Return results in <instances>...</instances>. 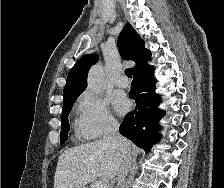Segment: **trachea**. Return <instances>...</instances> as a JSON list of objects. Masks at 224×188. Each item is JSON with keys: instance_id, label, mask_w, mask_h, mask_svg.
I'll return each mask as SVG.
<instances>
[{"instance_id": "obj_1", "label": "trachea", "mask_w": 224, "mask_h": 188, "mask_svg": "<svg viewBox=\"0 0 224 188\" xmlns=\"http://www.w3.org/2000/svg\"><path fill=\"white\" fill-rule=\"evenodd\" d=\"M125 74L127 77L132 78V69L131 68H127L125 70Z\"/></svg>"}]
</instances>
